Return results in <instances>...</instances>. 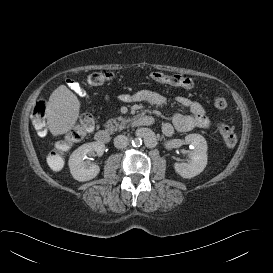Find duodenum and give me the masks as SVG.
Here are the masks:
<instances>
[{
	"instance_id": "obj_1",
	"label": "duodenum",
	"mask_w": 273,
	"mask_h": 273,
	"mask_svg": "<svg viewBox=\"0 0 273 273\" xmlns=\"http://www.w3.org/2000/svg\"><path fill=\"white\" fill-rule=\"evenodd\" d=\"M153 123V118L151 116L141 115L134 119L133 124L137 127H146ZM95 140L98 143L107 144L111 140V133L106 129H100L96 131Z\"/></svg>"
}]
</instances>
